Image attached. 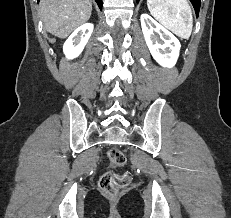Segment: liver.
I'll return each mask as SVG.
<instances>
[{"label":"liver","mask_w":231,"mask_h":218,"mask_svg":"<svg viewBox=\"0 0 231 218\" xmlns=\"http://www.w3.org/2000/svg\"><path fill=\"white\" fill-rule=\"evenodd\" d=\"M40 12L46 30L59 38H66L87 22L92 13L91 0H41Z\"/></svg>","instance_id":"obj_1"}]
</instances>
